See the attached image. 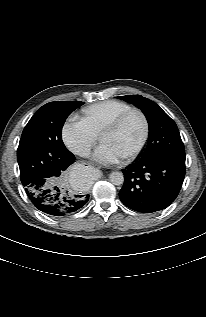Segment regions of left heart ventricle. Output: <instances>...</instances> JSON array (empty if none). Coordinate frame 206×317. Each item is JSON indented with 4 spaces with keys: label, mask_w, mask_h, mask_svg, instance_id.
<instances>
[{
    "label": "left heart ventricle",
    "mask_w": 206,
    "mask_h": 317,
    "mask_svg": "<svg viewBox=\"0 0 206 317\" xmlns=\"http://www.w3.org/2000/svg\"><path fill=\"white\" fill-rule=\"evenodd\" d=\"M142 134V120L139 115L132 114L120 128L104 135L102 142L111 145L124 157L139 144Z\"/></svg>",
    "instance_id": "obj_1"
}]
</instances>
